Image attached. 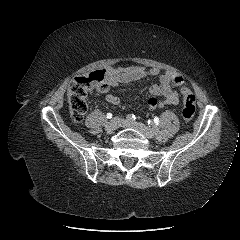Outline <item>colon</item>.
I'll return each mask as SVG.
<instances>
[{"mask_svg":"<svg viewBox=\"0 0 240 240\" xmlns=\"http://www.w3.org/2000/svg\"><path fill=\"white\" fill-rule=\"evenodd\" d=\"M106 81V71L97 70L87 75L79 76L71 82L68 89V104L70 116L75 122L82 121L87 112V95L93 91H104L106 88ZM182 95V116L186 121H191L196 111L195 96L188 88L182 89Z\"/></svg>","mask_w":240,"mask_h":240,"instance_id":"colon-1","label":"colon"}]
</instances>
